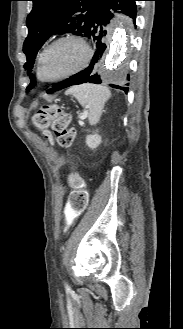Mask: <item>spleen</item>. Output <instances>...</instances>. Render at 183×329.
<instances>
[{"label":"spleen","mask_w":183,"mask_h":329,"mask_svg":"<svg viewBox=\"0 0 183 329\" xmlns=\"http://www.w3.org/2000/svg\"><path fill=\"white\" fill-rule=\"evenodd\" d=\"M73 95L84 109H87L88 120L91 125H96L103 113L106 101L111 97V92L104 86L95 84H82L71 87L66 91Z\"/></svg>","instance_id":"obj_1"}]
</instances>
